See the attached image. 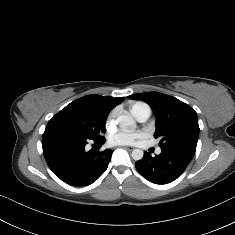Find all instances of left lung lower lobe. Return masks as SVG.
I'll use <instances>...</instances> for the list:
<instances>
[{
	"label": "left lung lower lobe",
	"instance_id": "obj_1",
	"mask_svg": "<svg viewBox=\"0 0 235 235\" xmlns=\"http://www.w3.org/2000/svg\"><path fill=\"white\" fill-rule=\"evenodd\" d=\"M193 154L178 148H161L158 156L145 152L135 163L138 172L152 183L165 184L178 178L193 158Z\"/></svg>",
	"mask_w": 235,
	"mask_h": 235
}]
</instances>
